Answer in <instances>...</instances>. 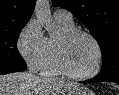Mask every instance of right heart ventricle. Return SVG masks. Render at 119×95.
<instances>
[{"label": "right heart ventricle", "instance_id": "right-heart-ventricle-1", "mask_svg": "<svg viewBox=\"0 0 119 95\" xmlns=\"http://www.w3.org/2000/svg\"><path fill=\"white\" fill-rule=\"evenodd\" d=\"M62 32L69 31L74 28L73 23H63L57 21ZM57 40L54 38H49L47 42V55L43 67L41 68L42 73L48 76L60 75L62 72L57 66L56 62V45Z\"/></svg>", "mask_w": 119, "mask_h": 95}]
</instances>
